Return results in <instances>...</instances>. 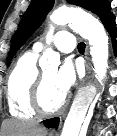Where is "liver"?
I'll list each match as a JSON object with an SVG mask.
<instances>
[{
  "mask_svg": "<svg viewBox=\"0 0 117 136\" xmlns=\"http://www.w3.org/2000/svg\"><path fill=\"white\" fill-rule=\"evenodd\" d=\"M3 136H46V129L30 121H6L3 123Z\"/></svg>",
  "mask_w": 117,
  "mask_h": 136,
  "instance_id": "obj_1",
  "label": "liver"
}]
</instances>
